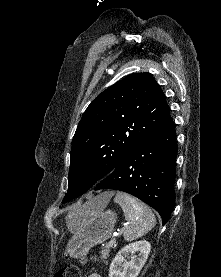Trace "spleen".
<instances>
[{
  "mask_svg": "<svg viewBox=\"0 0 221 277\" xmlns=\"http://www.w3.org/2000/svg\"><path fill=\"white\" fill-rule=\"evenodd\" d=\"M114 202L118 203L129 222L124 230V239L132 241L148 233L156 225V218L151 209L133 196L117 192Z\"/></svg>",
  "mask_w": 221,
  "mask_h": 277,
  "instance_id": "spleen-1",
  "label": "spleen"
}]
</instances>
